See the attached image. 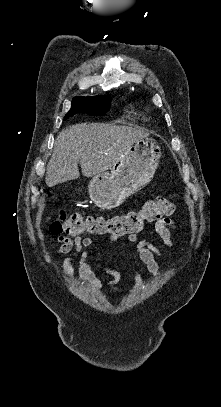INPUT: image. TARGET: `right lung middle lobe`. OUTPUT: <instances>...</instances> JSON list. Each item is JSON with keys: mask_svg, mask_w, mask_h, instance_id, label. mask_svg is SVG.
Listing matches in <instances>:
<instances>
[{"mask_svg": "<svg viewBox=\"0 0 221 407\" xmlns=\"http://www.w3.org/2000/svg\"><path fill=\"white\" fill-rule=\"evenodd\" d=\"M111 96H76L72 100L71 109L65 115L64 119L75 115L78 112L86 113L92 116H103L109 110Z\"/></svg>", "mask_w": 221, "mask_h": 407, "instance_id": "1", "label": "right lung middle lobe"}]
</instances>
